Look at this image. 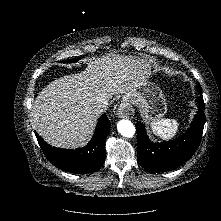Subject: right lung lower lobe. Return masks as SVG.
Masks as SVG:
<instances>
[{
    "mask_svg": "<svg viewBox=\"0 0 221 221\" xmlns=\"http://www.w3.org/2000/svg\"><path fill=\"white\" fill-rule=\"evenodd\" d=\"M111 127L106 114L98 121L95 133L86 147L76 150L59 149L48 145L36 132L38 143L47 159L57 168L72 173H92L105 161V140Z\"/></svg>",
    "mask_w": 221,
    "mask_h": 221,
    "instance_id": "1",
    "label": "right lung lower lobe"
}]
</instances>
